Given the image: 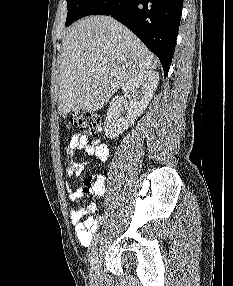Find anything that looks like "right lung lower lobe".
Instances as JSON below:
<instances>
[{"label":"right lung lower lobe","instance_id":"obj_1","mask_svg":"<svg viewBox=\"0 0 233 286\" xmlns=\"http://www.w3.org/2000/svg\"><path fill=\"white\" fill-rule=\"evenodd\" d=\"M182 5L183 0H95L80 18L111 15L157 55L167 76L175 51Z\"/></svg>","mask_w":233,"mask_h":286}]
</instances>
